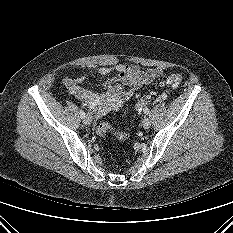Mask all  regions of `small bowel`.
<instances>
[{
    "instance_id": "1",
    "label": "small bowel",
    "mask_w": 233,
    "mask_h": 233,
    "mask_svg": "<svg viewBox=\"0 0 233 233\" xmlns=\"http://www.w3.org/2000/svg\"><path fill=\"white\" fill-rule=\"evenodd\" d=\"M113 74L103 83V92H97L83 85L86 76L65 78L64 85L71 95L82 101L96 116L100 117L110 111H118L133 94L145 85L163 75L160 68L140 70L137 66L116 64L100 67L90 75L106 76Z\"/></svg>"
}]
</instances>
